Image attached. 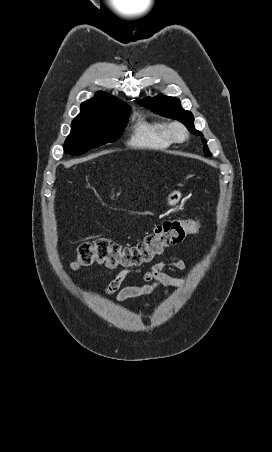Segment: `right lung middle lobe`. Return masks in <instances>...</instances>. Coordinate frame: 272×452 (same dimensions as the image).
I'll use <instances>...</instances> for the list:
<instances>
[{"label": "right lung middle lobe", "mask_w": 272, "mask_h": 452, "mask_svg": "<svg viewBox=\"0 0 272 452\" xmlns=\"http://www.w3.org/2000/svg\"><path fill=\"white\" fill-rule=\"evenodd\" d=\"M130 108L120 105L80 121H72V129L63 146L64 152L82 155L90 149L116 141L126 126Z\"/></svg>", "instance_id": "dd1d6c3e"}]
</instances>
